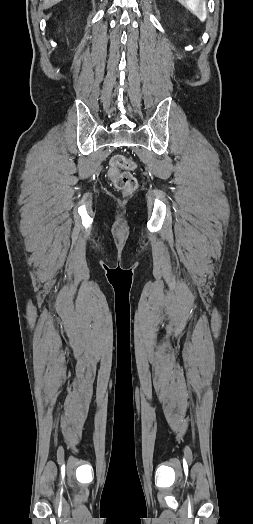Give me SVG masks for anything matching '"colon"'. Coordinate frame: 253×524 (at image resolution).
I'll return each mask as SVG.
<instances>
[{"label": "colon", "mask_w": 253, "mask_h": 524, "mask_svg": "<svg viewBox=\"0 0 253 524\" xmlns=\"http://www.w3.org/2000/svg\"><path fill=\"white\" fill-rule=\"evenodd\" d=\"M134 168L135 163L124 156L118 155L112 158L108 168V177L116 189L130 194L137 188V181L132 173L123 171V169L133 170Z\"/></svg>", "instance_id": "1"}]
</instances>
